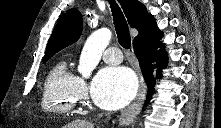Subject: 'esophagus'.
I'll list each match as a JSON object with an SVG mask.
<instances>
[{"label": "esophagus", "instance_id": "1", "mask_svg": "<svg viewBox=\"0 0 221 128\" xmlns=\"http://www.w3.org/2000/svg\"><path fill=\"white\" fill-rule=\"evenodd\" d=\"M146 83L144 81L143 78H141L140 81V87H139V91L138 94L136 96V99L124 110H122L120 117H119V124L120 125H128L129 123H131L134 119V117L136 116V114L138 113V111L140 110L145 97H146Z\"/></svg>", "mask_w": 221, "mask_h": 128}]
</instances>
